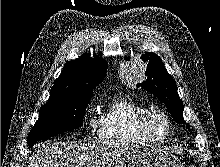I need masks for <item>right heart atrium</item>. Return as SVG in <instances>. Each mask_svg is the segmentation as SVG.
Listing matches in <instances>:
<instances>
[{
	"mask_svg": "<svg viewBox=\"0 0 220 167\" xmlns=\"http://www.w3.org/2000/svg\"><path fill=\"white\" fill-rule=\"evenodd\" d=\"M97 124H98L97 115H96V113H92L89 117V120H88V127L90 129H93L97 126Z\"/></svg>",
	"mask_w": 220,
	"mask_h": 167,
	"instance_id": "right-heart-atrium-1",
	"label": "right heart atrium"
}]
</instances>
